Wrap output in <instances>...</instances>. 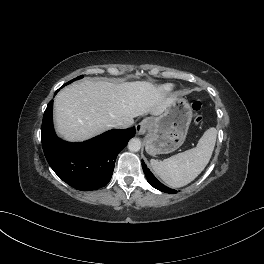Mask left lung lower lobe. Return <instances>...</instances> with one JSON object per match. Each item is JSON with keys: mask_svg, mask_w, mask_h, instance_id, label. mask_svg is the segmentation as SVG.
Here are the masks:
<instances>
[{"mask_svg": "<svg viewBox=\"0 0 264 264\" xmlns=\"http://www.w3.org/2000/svg\"><path fill=\"white\" fill-rule=\"evenodd\" d=\"M142 166H143V171H144V174L147 178V181L150 183V185H152L154 188L162 191V192H166V193H169V194H174L176 193L177 191L176 190H173V189H170L168 187H166L165 185H163L162 183H160L156 178L155 176L151 173V171L147 168V166L145 165V163L142 161Z\"/></svg>", "mask_w": 264, "mask_h": 264, "instance_id": "1", "label": "left lung lower lobe"}]
</instances>
